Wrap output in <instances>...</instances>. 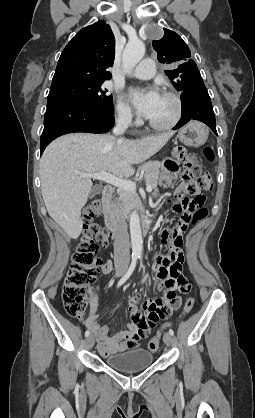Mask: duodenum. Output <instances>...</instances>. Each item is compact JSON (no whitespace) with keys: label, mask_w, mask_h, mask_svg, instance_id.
I'll list each match as a JSON object with an SVG mask.
<instances>
[{"label":"duodenum","mask_w":255,"mask_h":418,"mask_svg":"<svg viewBox=\"0 0 255 418\" xmlns=\"http://www.w3.org/2000/svg\"><path fill=\"white\" fill-rule=\"evenodd\" d=\"M102 201L105 214V225L113 233L122 231V223L113 206V188L109 185L105 186L102 192ZM152 219L150 215L142 218V229L146 233L151 227Z\"/></svg>","instance_id":"obj_1"}]
</instances>
